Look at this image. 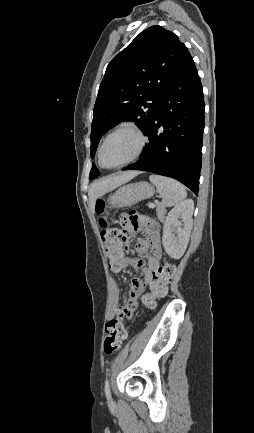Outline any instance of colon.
Segmentation results:
<instances>
[{
  "mask_svg": "<svg viewBox=\"0 0 254 433\" xmlns=\"http://www.w3.org/2000/svg\"><path fill=\"white\" fill-rule=\"evenodd\" d=\"M105 207V200H97V213L102 214L105 210ZM125 218L132 226L141 225L146 220L145 215L137 210H131L125 215ZM99 221L102 226V240L105 252L110 264L112 265L119 262L124 256L125 245L127 241V229L124 227L121 217L118 220L121 228L111 226L110 222L104 217H101ZM175 272L176 267L172 262L166 261L164 264L158 267V269L155 271V285L151 290V294L145 296L144 298V302L148 308L154 307L155 299L165 296L166 287L173 280ZM127 336L128 329L122 321L117 318L108 320L105 324L104 352L106 354H112L118 351L121 348L123 342L126 340Z\"/></svg>",
  "mask_w": 254,
  "mask_h": 433,
  "instance_id": "1",
  "label": "colon"
}]
</instances>
